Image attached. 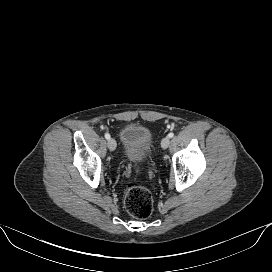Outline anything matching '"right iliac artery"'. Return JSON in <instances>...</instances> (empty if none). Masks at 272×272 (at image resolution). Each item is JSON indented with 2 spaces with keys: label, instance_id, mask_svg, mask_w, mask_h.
Segmentation results:
<instances>
[{
  "label": "right iliac artery",
  "instance_id": "82829eb1",
  "mask_svg": "<svg viewBox=\"0 0 272 272\" xmlns=\"http://www.w3.org/2000/svg\"><path fill=\"white\" fill-rule=\"evenodd\" d=\"M105 138H106L107 140H109V139H110V135H109L108 133H105Z\"/></svg>",
  "mask_w": 272,
  "mask_h": 272
}]
</instances>
